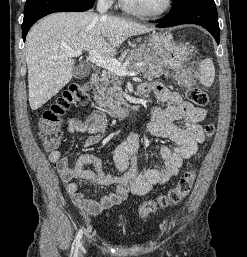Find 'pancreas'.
I'll return each instance as SVG.
<instances>
[{
    "label": "pancreas",
    "instance_id": "cf45deb5",
    "mask_svg": "<svg viewBox=\"0 0 247 257\" xmlns=\"http://www.w3.org/2000/svg\"><path fill=\"white\" fill-rule=\"evenodd\" d=\"M126 67L131 70H137L143 73V78L151 81L163 75L161 65L156 62L143 61L133 54L126 62ZM122 82L118 76L109 71L103 74L100 79V84L96 88L98 96H96V103L101 108L114 109L118 108L123 101V91L121 88Z\"/></svg>",
    "mask_w": 247,
    "mask_h": 257
}]
</instances>
